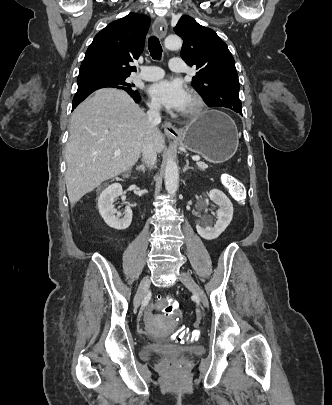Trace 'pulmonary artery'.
I'll list each match as a JSON object with an SVG mask.
<instances>
[{
	"label": "pulmonary artery",
	"instance_id": "obj_1",
	"mask_svg": "<svg viewBox=\"0 0 332 405\" xmlns=\"http://www.w3.org/2000/svg\"><path fill=\"white\" fill-rule=\"evenodd\" d=\"M169 66L171 71L176 73H181L185 70L184 62L180 58H172ZM163 75V69L158 66H144L139 73V77L147 81L159 80Z\"/></svg>",
	"mask_w": 332,
	"mask_h": 405
}]
</instances>
